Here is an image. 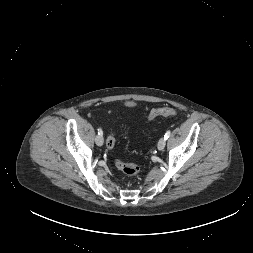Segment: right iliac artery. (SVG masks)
Returning <instances> with one entry per match:
<instances>
[{"label":"right iliac artery","mask_w":253,"mask_h":253,"mask_svg":"<svg viewBox=\"0 0 253 253\" xmlns=\"http://www.w3.org/2000/svg\"><path fill=\"white\" fill-rule=\"evenodd\" d=\"M102 134H103L102 130L98 128V135H102Z\"/></svg>","instance_id":"right-iliac-artery-1"}]
</instances>
